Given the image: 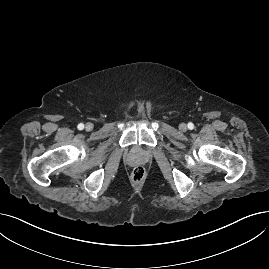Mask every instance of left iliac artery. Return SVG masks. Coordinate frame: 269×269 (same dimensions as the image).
<instances>
[{
  "label": "left iliac artery",
  "mask_w": 269,
  "mask_h": 269,
  "mask_svg": "<svg viewBox=\"0 0 269 269\" xmlns=\"http://www.w3.org/2000/svg\"><path fill=\"white\" fill-rule=\"evenodd\" d=\"M188 128H189L190 130L194 129V124H193L192 122H189V123H188Z\"/></svg>",
  "instance_id": "44dca946"
}]
</instances>
